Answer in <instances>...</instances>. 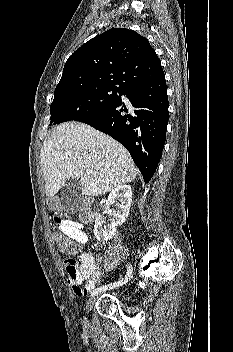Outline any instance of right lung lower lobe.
<instances>
[{
    "label": "right lung lower lobe",
    "mask_w": 233,
    "mask_h": 352,
    "mask_svg": "<svg viewBox=\"0 0 233 352\" xmlns=\"http://www.w3.org/2000/svg\"><path fill=\"white\" fill-rule=\"evenodd\" d=\"M124 95L129 105L120 99L79 121L123 144L148 183L157 169L166 138L169 103L165 77L131 87Z\"/></svg>",
    "instance_id": "1"
}]
</instances>
